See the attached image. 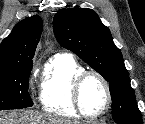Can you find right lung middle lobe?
Masks as SVG:
<instances>
[{"instance_id":"right-lung-middle-lobe-1","label":"right lung middle lobe","mask_w":145,"mask_h":124,"mask_svg":"<svg viewBox=\"0 0 145 124\" xmlns=\"http://www.w3.org/2000/svg\"><path fill=\"white\" fill-rule=\"evenodd\" d=\"M32 62L10 68H0V110L31 107L28 79Z\"/></svg>"}]
</instances>
